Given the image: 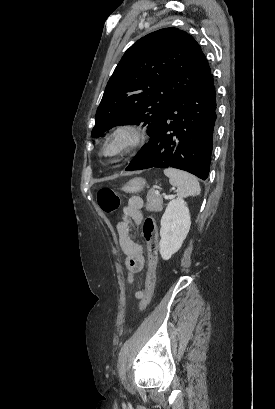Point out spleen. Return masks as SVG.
Masks as SVG:
<instances>
[{
    "mask_svg": "<svg viewBox=\"0 0 275 409\" xmlns=\"http://www.w3.org/2000/svg\"><path fill=\"white\" fill-rule=\"evenodd\" d=\"M164 174L169 176L170 184L177 186L178 196H195L200 194V184L193 174L178 170V168H165Z\"/></svg>",
    "mask_w": 275,
    "mask_h": 409,
    "instance_id": "spleen-1",
    "label": "spleen"
}]
</instances>
